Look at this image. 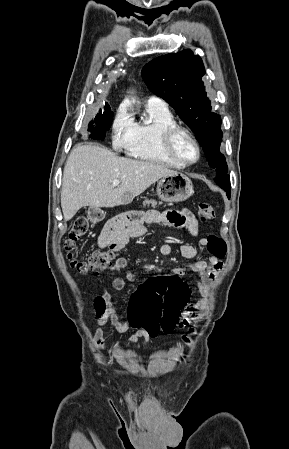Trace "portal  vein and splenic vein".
I'll list each match as a JSON object with an SVG mask.
<instances>
[{"label": "portal vein and splenic vein", "instance_id": "18ae733b", "mask_svg": "<svg viewBox=\"0 0 289 449\" xmlns=\"http://www.w3.org/2000/svg\"><path fill=\"white\" fill-rule=\"evenodd\" d=\"M119 183H120V180L115 179V180L112 182V186H113V187H116V186L119 185Z\"/></svg>", "mask_w": 289, "mask_h": 449}]
</instances>
